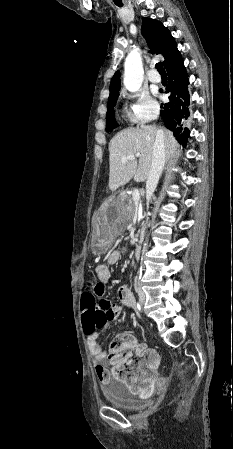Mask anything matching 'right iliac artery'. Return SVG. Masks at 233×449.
Listing matches in <instances>:
<instances>
[{
  "instance_id": "82829eb1",
  "label": "right iliac artery",
  "mask_w": 233,
  "mask_h": 449,
  "mask_svg": "<svg viewBox=\"0 0 233 449\" xmlns=\"http://www.w3.org/2000/svg\"><path fill=\"white\" fill-rule=\"evenodd\" d=\"M136 308L139 310V311H141V306H140V304L137 302L136 303Z\"/></svg>"
}]
</instances>
